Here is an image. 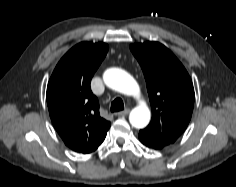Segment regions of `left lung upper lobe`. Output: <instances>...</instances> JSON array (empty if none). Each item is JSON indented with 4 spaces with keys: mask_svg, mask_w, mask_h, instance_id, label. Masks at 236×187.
Masks as SVG:
<instances>
[{
    "mask_svg": "<svg viewBox=\"0 0 236 187\" xmlns=\"http://www.w3.org/2000/svg\"><path fill=\"white\" fill-rule=\"evenodd\" d=\"M130 49L144 73L152 121L139 138L166 146L186 129L193 112L194 88L175 55L158 42L132 44Z\"/></svg>",
    "mask_w": 236,
    "mask_h": 187,
    "instance_id": "1",
    "label": "left lung upper lobe"
}]
</instances>
